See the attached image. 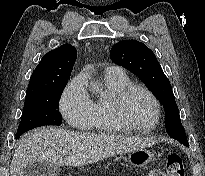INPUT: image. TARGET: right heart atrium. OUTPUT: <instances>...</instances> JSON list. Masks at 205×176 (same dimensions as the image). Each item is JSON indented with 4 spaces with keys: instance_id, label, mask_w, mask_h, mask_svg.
<instances>
[{
    "instance_id": "obj_1",
    "label": "right heart atrium",
    "mask_w": 205,
    "mask_h": 176,
    "mask_svg": "<svg viewBox=\"0 0 205 176\" xmlns=\"http://www.w3.org/2000/svg\"><path fill=\"white\" fill-rule=\"evenodd\" d=\"M59 109L73 128L83 130L89 125L93 115V102L81 76H76L66 85L59 99Z\"/></svg>"
}]
</instances>
